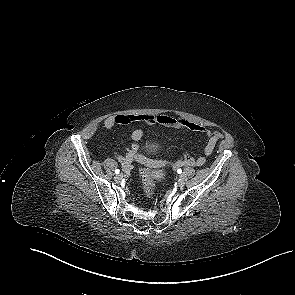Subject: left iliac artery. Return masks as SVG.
<instances>
[{"instance_id":"1","label":"left iliac artery","mask_w":295,"mask_h":295,"mask_svg":"<svg viewBox=\"0 0 295 295\" xmlns=\"http://www.w3.org/2000/svg\"><path fill=\"white\" fill-rule=\"evenodd\" d=\"M177 173H178V174H181V173H182V170H181V169H178V170H177Z\"/></svg>"}]
</instances>
